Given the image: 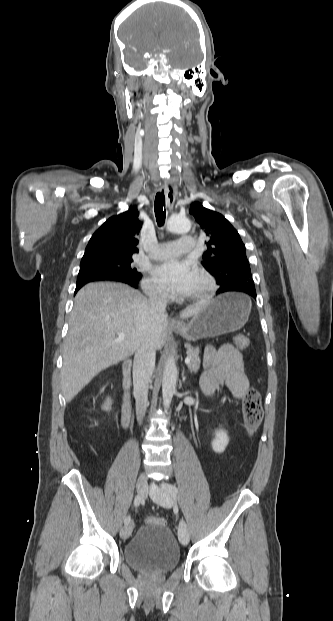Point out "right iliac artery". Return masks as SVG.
<instances>
[{
    "label": "right iliac artery",
    "mask_w": 333,
    "mask_h": 621,
    "mask_svg": "<svg viewBox=\"0 0 333 621\" xmlns=\"http://www.w3.org/2000/svg\"><path fill=\"white\" fill-rule=\"evenodd\" d=\"M141 503H142V498H141V496L137 495V496L135 497V500H134V506H135V507H138ZM130 521H131L130 516H127V517L124 519V523H125V525H128V524L130 523Z\"/></svg>",
    "instance_id": "1"
}]
</instances>
